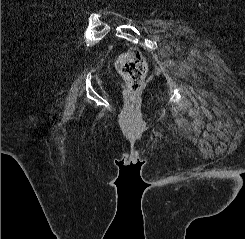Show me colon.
<instances>
[{
    "label": "colon",
    "instance_id": "colon-1",
    "mask_svg": "<svg viewBox=\"0 0 245 239\" xmlns=\"http://www.w3.org/2000/svg\"><path fill=\"white\" fill-rule=\"evenodd\" d=\"M115 66L126 82L129 97L133 98L142 88L147 73L145 58L137 48H131L117 58Z\"/></svg>",
    "mask_w": 245,
    "mask_h": 239
}]
</instances>
